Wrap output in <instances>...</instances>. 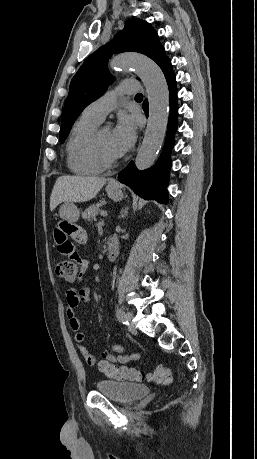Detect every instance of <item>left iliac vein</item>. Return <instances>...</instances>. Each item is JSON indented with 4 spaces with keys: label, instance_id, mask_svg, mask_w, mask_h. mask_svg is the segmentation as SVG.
<instances>
[{
    "label": "left iliac vein",
    "instance_id": "1",
    "mask_svg": "<svg viewBox=\"0 0 257 459\" xmlns=\"http://www.w3.org/2000/svg\"><path fill=\"white\" fill-rule=\"evenodd\" d=\"M125 318H126V320L129 322V324H128V330H129L131 333H133V334L136 333V329H135L134 325H133L132 322H131V321H132V318H133V314H132L131 312H127V313L125 314Z\"/></svg>",
    "mask_w": 257,
    "mask_h": 459
}]
</instances>
